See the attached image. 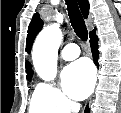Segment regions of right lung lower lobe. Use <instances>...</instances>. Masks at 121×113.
Returning <instances> with one entry per match:
<instances>
[{
  "mask_svg": "<svg viewBox=\"0 0 121 113\" xmlns=\"http://www.w3.org/2000/svg\"><path fill=\"white\" fill-rule=\"evenodd\" d=\"M90 46H91V51H92V54H93V60H94V63L98 65V38L95 34V31H93L92 33H90ZM86 113L89 112V109L88 107L86 108Z\"/></svg>",
  "mask_w": 121,
  "mask_h": 113,
  "instance_id": "obj_1",
  "label": "right lung lower lobe"
}]
</instances>
